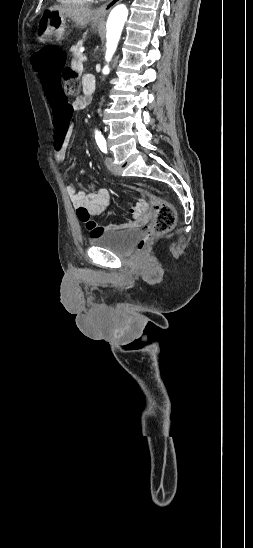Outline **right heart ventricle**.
Returning <instances> with one entry per match:
<instances>
[{"label":"right heart ventricle","instance_id":"obj_1","mask_svg":"<svg viewBox=\"0 0 253 548\" xmlns=\"http://www.w3.org/2000/svg\"><path fill=\"white\" fill-rule=\"evenodd\" d=\"M57 1L63 4H86V3L92 2L93 0H57Z\"/></svg>","mask_w":253,"mask_h":548}]
</instances>
